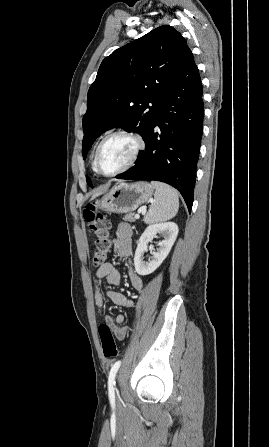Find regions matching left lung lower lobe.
<instances>
[{"label":"left lung lower lobe","instance_id":"1","mask_svg":"<svg viewBox=\"0 0 269 447\" xmlns=\"http://www.w3.org/2000/svg\"><path fill=\"white\" fill-rule=\"evenodd\" d=\"M203 88L190 49L146 133L145 151L118 179L156 180L175 187L189 212L203 130Z\"/></svg>","mask_w":269,"mask_h":447}]
</instances>
